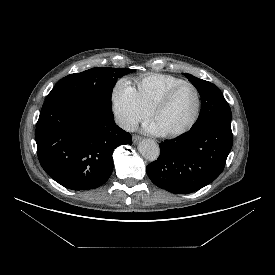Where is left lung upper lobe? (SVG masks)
Instances as JSON below:
<instances>
[{
  "label": "left lung upper lobe",
  "mask_w": 275,
  "mask_h": 275,
  "mask_svg": "<svg viewBox=\"0 0 275 275\" xmlns=\"http://www.w3.org/2000/svg\"><path fill=\"white\" fill-rule=\"evenodd\" d=\"M184 75L197 88L201 96V111L192 129L210 123L230 122L231 109L217 86L193 75L186 73Z\"/></svg>",
  "instance_id": "5c2ea615"
}]
</instances>
